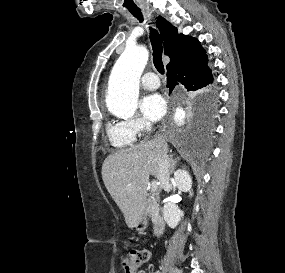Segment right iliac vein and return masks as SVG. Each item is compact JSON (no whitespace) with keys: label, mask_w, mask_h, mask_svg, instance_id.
I'll use <instances>...</instances> for the list:
<instances>
[{"label":"right iliac vein","mask_w":285,"mask_h":273,"mask_svg":"<svg viewBox=\"0 0 285 273\" xmlns=\"http://www.w3.org/2000/svg\"><path fill=\"white\" fill-rule=\"evenodd\" d=\"M174 273H182L179 269H175Z\"/></svg>","instance_id":"63e3f726"}]
</instances>
